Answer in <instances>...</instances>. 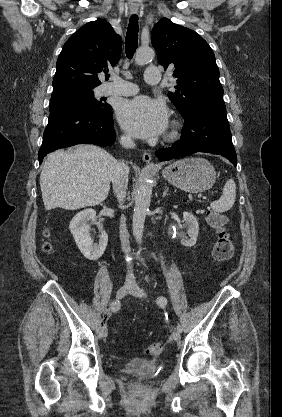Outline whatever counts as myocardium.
I'll list each match as a JSON object with an SVG mask.
<instances>
[{"label":"myocardium","instance_id":"1","mask_svg":"<svg viewBox=\"0 0 282 417\" xmlns=\"http://www.w3.org/2000/svg\"><path fill=\"white\" fill-rule=\"evenodd\" d=\"M179 136V130L178 126L174 125L170 128V130L167 132L166 137L170 140L175 139Z\"/></svg>","mask_w":282,"mask_h":417}]
</instances>
